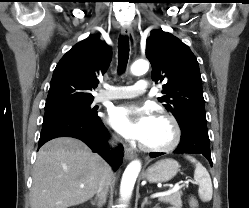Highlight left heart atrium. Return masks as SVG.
Returning <instances> with one entry per match:
<instances>
[{
  "mask_svg": "<svg viewBox=\"0 0 249 208\" xmlns=\"http://www.w3.org/2000/svg\"><path fill=\"white\" fill-rule=\"evenodd\" d=\"M154 117L150 109L136 104L114 107L108 117L109 124L124 138L144 143L151 131Z\"/></svg>",
  "mask_w": 249,
  "mask_h": 208,
  "instance_id": "obj_1",
  "label": "left heart atrium"
}]
</instances>
